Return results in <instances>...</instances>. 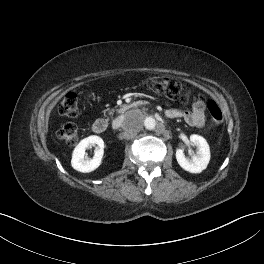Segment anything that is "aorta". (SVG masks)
Wrapping results in <instances>:
<instances>
[{
	"mask_svg": "<svg viewBox=\"0 0 264 264\" xmlns=\"http://www.w3.org/2000/svg\"><path fill=\"white\" fill-rule=\"evenodd\" d=\"M143 124L148 130H154L157 126V122L153 117H146L143 121Z\"/></svg>",
	"mask_w": 264,
	"mask_h": 264,
	"instance_id": "aorta-1",
	"label": "aorta"
}]
</instances>
